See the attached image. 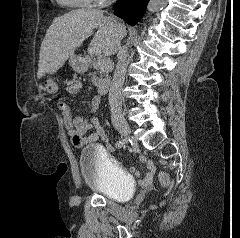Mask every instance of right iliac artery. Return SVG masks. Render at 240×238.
<instances>
[{
  "mask_svg": "<svg viewBox=\"0 0 240 238\" xmlns=\"http://www.w3.org/2000/svg\"><path fill=\"white\" fill-rule=\"evenodd\" d=\"M123 142L122 141H118L117 143H116V147H118V148H121L122 146H123Z\"/></svg>",
  "mask_w": 240,
  "mask_h": 238,
  "instance_id": "obj_1",
  "label": "right iliac artery"
}]
</instances>
